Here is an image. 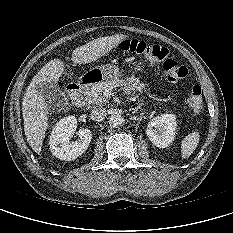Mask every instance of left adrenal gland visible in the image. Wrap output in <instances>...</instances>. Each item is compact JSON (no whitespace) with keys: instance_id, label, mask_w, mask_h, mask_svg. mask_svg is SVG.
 <instances>
[{"instance_id":"obj_1","label":"left adrenal gland","mask_w":233,"mask_h":233,"mask_svg":"<svg viewBox=\"0 0 233 233\" xmlns=\"http://www.w3.org/2000/svg\"><path fill=\"white\" fill-rule=\"evenodd\" d=\"M141 106L142 104L138 105L134 110L137 111Z\"/></svg>"}]
</instances>
